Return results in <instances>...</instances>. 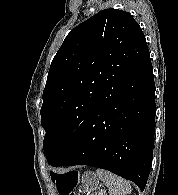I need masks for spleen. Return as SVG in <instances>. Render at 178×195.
<instances>
[{"instance_id": "1", "label": "spleen", "mask_w": 178, "mask_h": 195, "mask_svg": "<svg viewBox=\"0 0 178 195\" xmlns=\"http://www.w3.org/2000/svg\"><path fill=\"white\" fill-rule=\"evenodd\" d=\"M96 175L109 189L110 195H127L132 191L129 182L111 172L97 169Z\"/></svg>"}]
</instances>
